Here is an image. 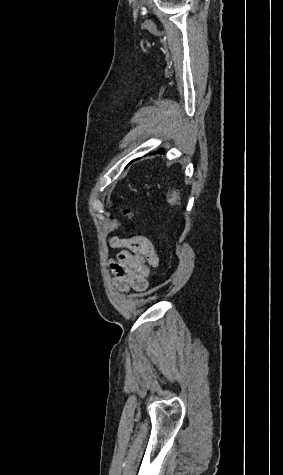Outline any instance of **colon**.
I'll use <instances>...</instances> for the list:
<instances>
[{"label": "colon", "mask_w": 283, "mask_h": 475, "mask_svg": "<svg viewBox=\"0 0 283 475\" xmlns=\"http://www.w3.org/2000/svg\"><path fill=\"white\" fill-rule=\"evenodd\" d=\"M123 214H124L126 217H130V216L132 215V212H131V210L126 209V210H124Z\"/></svg>", "instance_id": "obj_1"}]
</instances>
